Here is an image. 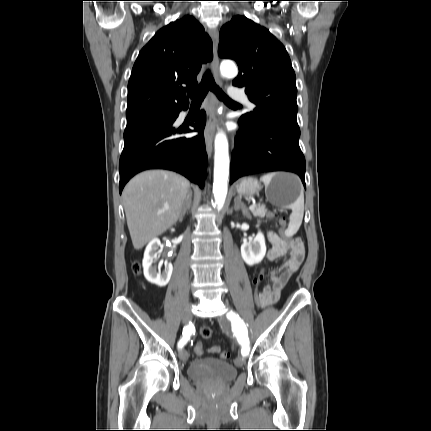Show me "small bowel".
I'll list each match as a JSON object with an SVG mask.
<instances>
[{
    "label": "small bowel",
    "instance_id": "1",
    "mask_svg": "<svg viewBox=\"0 0 431 431\" xmlns=\"http://www.w3.org/2000/svg\"><path fill=\"white\" fill-rule=\"evenodd\" d=\"M268 239L271 243V248L267 252L268 260L279 259L287 253H290V256L282 266L270 272V283L265 285L260 292L261 299L259 300V305L261 307L272 305L279 300L284 286L289 278L299 269L305 256L304 245L300 239L288 241L281 238L275 232H269ZM210 351L216 353L220 349L218 346H213L210 348Z\"/></svg>",
    "mask_w": 431,
    "mask_h": 431
}]
</instances>
